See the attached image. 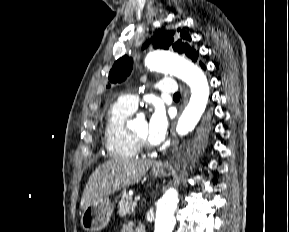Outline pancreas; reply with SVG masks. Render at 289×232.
I'll return each mask as SVG.
<instances>
[{"label":"pancreas","instance_id":"pancreas-1","mask_svg":"<svg viewBox=\"0 0 289 232\" xmlns=\"http://www.w3.org/2000/svg\"><path fill=\"white\" fill-rule=\"evenodd\" d=\"M136 203L132 201V197L129 195H124L119 201L118 215L124 217L127 214H135Z\"/></svg>","mask_w":289,"mask_h":232}]
</instances>
